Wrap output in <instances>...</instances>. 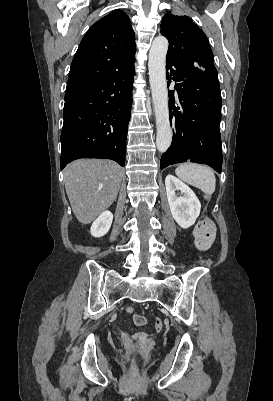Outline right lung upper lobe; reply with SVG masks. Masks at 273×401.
<instances>
[{"label": "right lung upper lobe", "instance_id": "right-lung-upper-lobe-1", "mask_svg": "<svg viewBox=\"0 0 273 401\" xmlns=\"http://www.w3.org/2000/svg\"><path fill=\"white\" fill-rule=\"evenodd\" d=\"M135 35L129 17L115 10L96 22L73 58L65 94L105 78L116 67L135 61Z\"/></svg>", "mask_w": 273, "mask_h": 401}]
</instances>
